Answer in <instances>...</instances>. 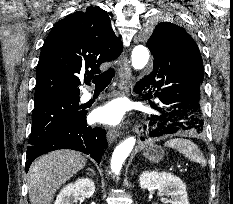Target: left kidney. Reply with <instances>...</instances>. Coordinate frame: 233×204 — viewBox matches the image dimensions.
<instances>
[{"instance_id":"1","label":"left kidney","mask_w":233,"mask_h":204,"mask_svg":"<svg viewBox=\"0 0 233 204\" xmlns=\"http://www.w3.org/2000/svg\"><path fill=\"white\" fill-rule=\"evenodd\" d=\"M141 189H157L160 193L170 196L171 204H189L186 186L183 181L171 173L144 171L140 175Z\"/></svg>"}]
</instances>
